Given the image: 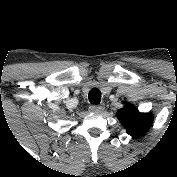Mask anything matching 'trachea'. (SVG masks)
<instances>
[{
    "mask_svg": "<svg viewBox=\"0 0 177 177\" xmlns=\"http://www.w3.org/2000/svg\"><path fill=\"white\" fill-rule=\"evenodd\" d=\"M88 99L91 104H99L101 101V91L98 88H93L89 91Z\"/></svg>",
    "mask_w": 177,
    "mask_h": 177,
    "instance_id": "1",
    "label": "trachea"
}]
</instances>
